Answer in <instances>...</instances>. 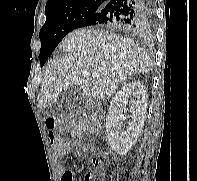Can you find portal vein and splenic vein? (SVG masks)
I'll return each mask as SVG.
<instances>
[{"instance_id": "portal-vein-and-splenic-vein-1", "label": "portal vein and splenic vein", "mask_w": 197, "mask_h": 181, "mask_svg": "<svg viewBox=\"0 0 197 181\" xmlns=\"http://www.w3.org/2000/svg\"><path fill=\"white\" fill-rule=\"evenodd\" d=\"M82 74L83 75H89V73L87 71H83ZM92 76L93 77H98L99 75H98V73H93Z\"/></svg>"}]
</instances>
